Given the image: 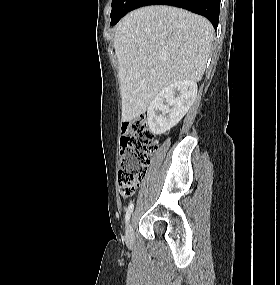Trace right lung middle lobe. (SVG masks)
<instances>
[{"label": "right lung middle lobe", "mask_w": 280, "mask_h": 285, "mask_svg": "<svg viewBox=\"0 0 280 285\" xmlns=\"http://www.w3.org/2000/svg\"><path fill=\"white\" fill-rule=\"evenodd\" d=\"M137 0H113L111 25L116 24L126 13L133 9V6Z\"/></svg>", "instance_id": "right-lung-middle-lobe-1"}]
</instances>
